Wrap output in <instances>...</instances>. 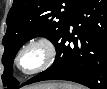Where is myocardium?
<instances>
[{
	"label": "myocardium",
	"instance_id": "myocardium-1",
	"mask_svg": "<svg viewBox=\"0 0 107 89\" xmlns=\"http://www.w3.org/2000/svg\"><path fill=\"white\" fill-rule=\"evenodd\" d=\"M31 47H40L44 52V58L41 64L35 67L34 69L24 70L21 67V63H20L21 58L23 54ZM55 57H56V47L53 41L47 36L40 35V36H36V37L29 39L20 47V49L18 50L16 54L14 64H15L16 69L22 74L34 75L49 68L54 62Z\"/></svg>",
	"mask_w": 107,
	"mask_h": 89
}]
</instances>
